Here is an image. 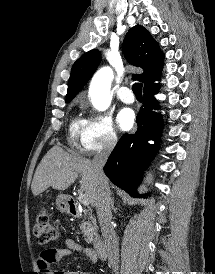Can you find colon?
Listing matches in <instances>:
<instances>
[{
    "mask_svg": "<svg viewBox=\"0 0 215 274\" xmlns=\"http://www.w3.org/2000/svg\"><path fill=\"white\" fill-rule=\"evenodd\" d=\"M34 235L39 243L47 248H52V244L58 239V232L46 210L40 211L37 215L34 225Z\"/></svg>",
    "mask_w": 215,
    "mask_h": 274,
    "instance_id": "1",
    "label": "colon"
}]
</instances>
